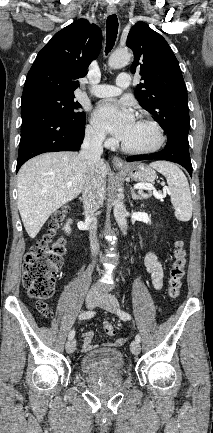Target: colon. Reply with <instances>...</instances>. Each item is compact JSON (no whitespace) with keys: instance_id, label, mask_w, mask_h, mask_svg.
Masks as SVG:
<instances>
[{"instance_id":"colon-1","label":"colon","mask_w":213,"mask_h":433,"mask_svg":"<svg viewBox=\"0 0 213 433\" xmlns=\"http://www.w3.org/2000/svg\"><path fill=\"white\" fill-rule=\"evenodd\" d=\"M67 209L58 212L50 222L47 233L35 244L24 257L23 285L30 297L37 300L36 309L40 315L49 318L52 310L47 301L53 296L56 288V276L63 263L65 246L59 236L65 225ZM186 250L184 242L178 240L174 244L173 256L169 268L168 295L172 299L180 295L182 280L185 275ZM104 331L113 336L115 326L106 322Z\"/></svg>"}]
</instances>
